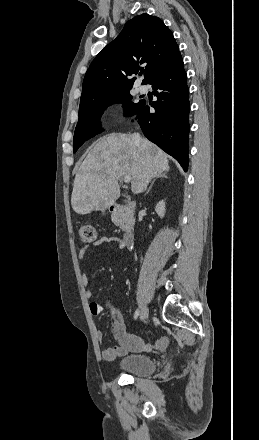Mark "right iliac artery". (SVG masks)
<instances>
[{"label": "right iliac artery", "mask_w": 259, "mask_h": 440, "mask_svg": "<svg viewBox=\"0 0 259 440\" xmlns=\"http://www.w3.org/2000/svg\"><path fill=\"white\" fill-rule=\"evenodd\" d=\"M139 313H140V311H139V309H137V310L135 311V313H134V319H137V318H138Z\"/></svg>", "instance_id": "right-iliac-artery-1"}]
</instances>
